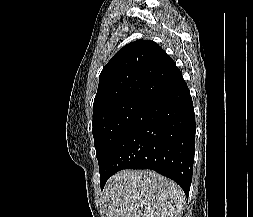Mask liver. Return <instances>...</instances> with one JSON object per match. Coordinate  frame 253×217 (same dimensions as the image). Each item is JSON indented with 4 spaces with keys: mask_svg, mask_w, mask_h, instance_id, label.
Here are the masks:
<instances>
[{
    "mask_svg": "<svg viewBox=\"0 0 253 217\" xmlns=\"http://www.w3.org/2000/svg\"><path fill=\"white\" fill-rule=\"evenodd\" d=\"M106 217H180L183 190L151 170H123L106 184Z\"/></svg>",
    "mask_w": 253,
    "mask_h": 217,
    "instance_id": "6515ba94",
    "label": "liver"
}]
</instances>
